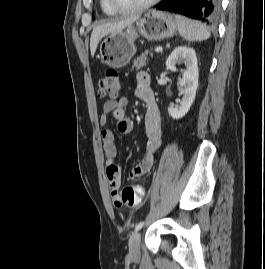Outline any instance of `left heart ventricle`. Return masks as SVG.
<instances>
[{
    "mask_svg": "<svg viewBox=\"0 0 265 269\" xmlns=\"http://www.w3.org/2000/svg\"><path fill=\"white\" fill-rule=\"evenodd\" d=\"M148 0H116L117 4L121 7H134L145 3Z\"/></svg>",
    "mask_w": 265,
    "mask_h": 269,
    "instance_id": "left-heart-ventricle-1",
    "label": "left heart ventricle"
}]
</instances>
